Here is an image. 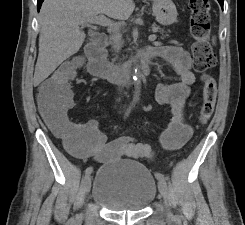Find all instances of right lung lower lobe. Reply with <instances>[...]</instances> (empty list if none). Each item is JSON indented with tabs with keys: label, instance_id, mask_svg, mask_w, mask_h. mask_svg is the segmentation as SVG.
Wrapping results in <instances>:
<instances>
[{
	"label": "right lung lower lobe",
	"instance_id": "1",
	"mask_svg": "<svg viewBox=\"0 0 245 225\" xmlns=\"http://www.w3.org/2000/svg\"><path fill=\"white\" fill-rule=\"evenodd\" d=\"M44 0H37V9L39 10L41 7V4Z\"/></svg>",
	"mask_w": 245,
	"mask_h": 225
}]
</instances>
